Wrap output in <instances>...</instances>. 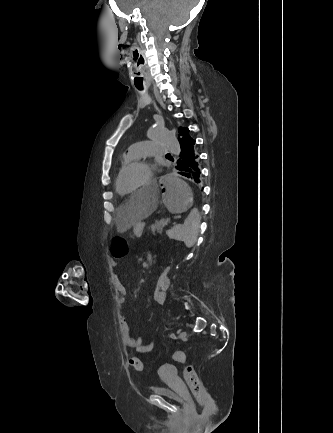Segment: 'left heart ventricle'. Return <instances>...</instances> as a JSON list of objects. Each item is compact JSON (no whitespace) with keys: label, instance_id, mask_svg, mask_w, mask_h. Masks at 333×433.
Returning a JSON list of instances; mask_svg holds the SVG:
<instances>
[{"label":"left heart ventricle","instance_id":"left-heart-ventricle-1","mask_svg":"<svg viewBox=\"0 0 333 433\" xmlns=\"http://www.w3.org/2000/svg\"><path fill=\"white\" fill-rule=\"evenodd\" d=\"M151 173V168L148 166H137L129 170L121 180V188L123 191H132L144 183Z\"/></svg>","mask_w":333,"mask_h":433}]
</instances>
